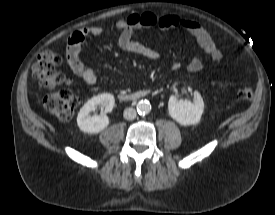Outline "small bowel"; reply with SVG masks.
I'll use <instances>...</instances> for the list:
<instances>
[{
    "label": "small bowel",
    "instance_id": "c3829d8e",
    "mask_svg": "<svg viewBox=\"0 0 275 215\" xmlns=\"http://www.w3.org/2000/svg\"><path fill=\"white\" fill-rule=\"evenodd\" d=\"M158 27L161 30L180 28L187 31L196 40L199 47L208 54L214 65L218 68L223 66V55L216 46L211 35L197 21L175 14L159 15L155 12L147 11L135 13L124 20H118L107 27L93 26L85 27L74 31L68 38L66 48V60L72 72L80 77L84 82L93 85L97 81L96 72L85 66L80 59L82 43L88 36H99L107 30H117L121 32L119 37V47L127 52L137 54L148 60L157 61L161 59L159 52L133 39L135 31ZM170 66L177 70L180 64L172 61ZM202 60L195 56L187 65L190 72H198L202 69Z\"/></svg>",
    "mask_w": 275,
    "mask_h": 215
}]
</instances>
